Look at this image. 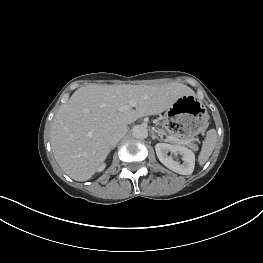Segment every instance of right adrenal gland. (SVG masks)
<instances>
[{
	"mask_svg": "<svg viewBox=\"0 0 263 263\" xmlns=\"http://www.w3.org/2000/svg\"><path fill=\"white\" fill-rule=\"evenodd\" d=\"M114 148H115V146H114V147H111L110 150H112V149H114Z\"/></svg>",
	"mask_w": 263,
	"mask_h": 263,
	"instance_id": "obj_1",
	"label": "right adrenal gland"
}]
</instances>
